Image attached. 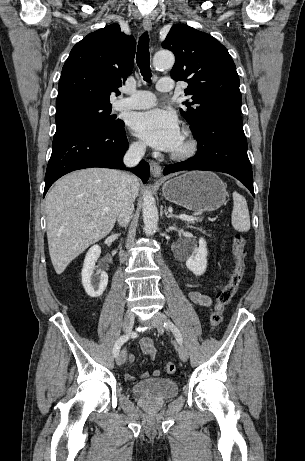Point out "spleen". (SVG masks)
<instances>
[{
	"label": "spleen",
	"mask_w": 305,
	"mask_h": 461,
	"mask_svg": "<svg viewBox=\"0 0 305 461\" xmlns=\"http://www.w3.org/2000/svg\"><path fill=\"white\" fill-rule=\"evenodd\" d=\"M232 226L240 232L250 229V216L246 199L239 193L233 192Z\"/></svg>",
	"instance_id": "1"
}]
</instances>
